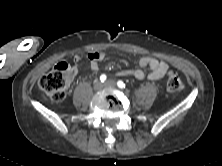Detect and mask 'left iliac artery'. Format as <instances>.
I'll return each instance as SVG.
<instances>
[{
  "label": "left iliac artery",
  "instance_id": "left-iliac-artery-1",
  "mask_svg": "<svg viewBox=\"0 0 222 166\" xmlns=\"http://www.w3.org/2000/svg\"><path fill=\"white\" fill-rule=\"evenodd\" d=\"M117 85H118V87L121 88V89L125 88V84H124V82L121 81V80H119V81L117 82Z\"/></svg>",
  "mask_w": 222,
  "mask_h": 166
}]
</instances>
